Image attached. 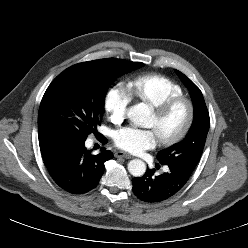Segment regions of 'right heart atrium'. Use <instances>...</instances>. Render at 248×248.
Here are the masks:
<instances>
[{
  "instance_id": "obj_1",
  "label": "right heart atrium",
  "mask_w": 248,
  "mask_h": 248,
  "mask_svg": "<svg viewBox=\"0 0 248 248\" xmlns=\"http://www.w3.org/2000/svg\"><path fill=\"white\" fill-rule=\"evenodd\" d=\"M132 101L129 92L122 85H114L108 89L104 97V107L113 123H121Z\"/></svg>"
}]
</instances>
